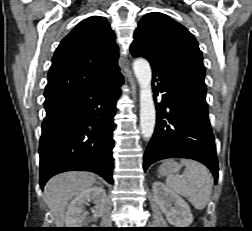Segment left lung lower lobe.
<instances>
[{
	"mask_svg": "<svg viewBox=\"0 0 252 231\" xmlns=\"http://www.w3.org/2000/svg\"><path fill=\"white\" fill-rule=\"evenodd\" d=\"M157 118L153 137L144 154V171L166 158H189L206 165L215 182L218 162L215 140L210 127L204 79L177 69H153ZM166 119V120H165Z\"/></svg>",
	"mask_w": 252,
	"mask_h": 231,
	"instance_id": "left-lung-lower-lobe-1",
	"label": "left lung lower lobe"
}]
</instances>
